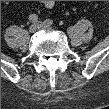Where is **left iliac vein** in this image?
Listing matches in <instances>:
<instances>
[{
    "label": "left iliac vein",
    "mask_w": 109,
    "mask_h": 109,
    "mask_svg": "<svg viewBox=\"0 0 109 109\" xmlns=\"http://www.w3.org/2000/svg\"><path fill=\"white\" fill-rule=\"evenodd\" d=\"M37 25L39 29H45V30L51 29V25L47 24L46 22H38Z\"/></svg>",
    "instance_id": "obj_1"
}]
</instances>
